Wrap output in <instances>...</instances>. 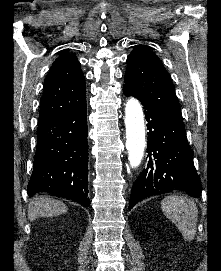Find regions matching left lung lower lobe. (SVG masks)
<instances>
[{
    "label": "left lung lower lobe",
    "instance_id": "1",
    "mask_svg": "<svg viewBox=\"0 0 221 271\" xmlns=\"http://www.w3.org/2000/svg\"><path fill=\"white\" fill-rule=\"evenodd\" d=\"M123 92L126 96L138 98L142 103L149 130V160L132 187L129 210L144 198L174 190L199 198L202 188L184 123L165 115L128 87L123 86Z\"/></svg>",
    "mask_w": 221,
    "mask_h": 271
}]
</instances>
